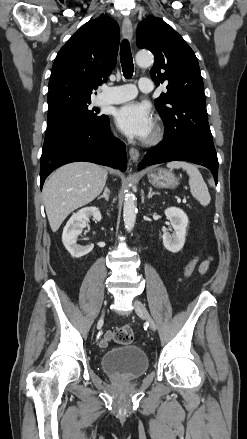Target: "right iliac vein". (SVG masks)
I'll list each match as a JSON object with an SVG mask.
<instances>
[{
    "mask_svg": "<svg viewBox=\"0 0 247 439\" xmlns=\"http://www.w3.org/2000/svg\"><path fill=\"white\" fill-rule=\"evenodd\" d=\"M103 317H104V311H103L102 316H101V318H100V320H99L98 323H102V321H103Z\"/></svg>",
    "mask_w": 247,
    "mask_h": 439,
    "instance_id": "1",
    "label": "right iliac vein"
}]
</instances>
